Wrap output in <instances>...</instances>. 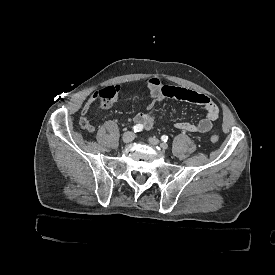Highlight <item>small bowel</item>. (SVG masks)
Returning a JSON list of instances; mask_svg holds the SVG:
<instances>
[{
  "mask_svg": "<svg viewBox=\"0 0 275 275\" xmlns=\"http://www.w3.org/2000/svg\"><path fill=\"white\" fill-rule=\"evenodd\" d=\"M145 85L147 88L150 85H157L159 87V94L157 96H150L146 111L139 112L134 117V122L144 130H149L154 126L157 109L166 97L201 104L206 111L205 117L197 123L190 121L177 122L175 128L178 130L191 133H206L212 129L213 124L219 117V107L205 94L198 93L185 87L163 85L157 77L148 79ZM95 95L96 94L90 96L83 107L90 110L96 101ZM116 99L115 96L108 106L114 105Z\"/></svg>",
  "mask_w": 275,
  "mask_h": 275,
  "instance_id": "small-bowel-1",
  "label": "small bowel"
}]
</instances>
